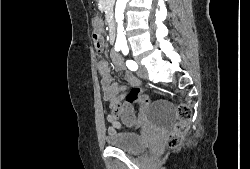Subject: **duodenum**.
Returning a JSON list of instances; mask_svg holds the SVG:
<instances>
[{"instance_id": "duodenum-1", "label": "duodenum", "mask_w": 250, "mask_h": 169, "mask_svg": "<svg viewBox=\"0 0 250 169\" xmlns=\"http://www.w3.org/2000/svg\"><path fill=\"white\" fill-rule=\"evenodd\" d=\"M108 35H109L110 41L114 42L115 37H116V28H115L114 20H111V22H110V26H109V29H108Z\"/></svg>"}]
</instances>
